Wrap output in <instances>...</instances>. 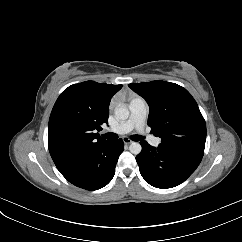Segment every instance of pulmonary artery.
Instances as JSON below:
<instances>
[{
  "label": "pulmonary artery",
  "mask_w": 242,
  "mask_h": 242,
  "mask_svg": "<svg viewBox=\"0 0 242 242\" xmlns=\"http://www.w3.org/2000/svg\"><path fill=\"white\" fill-rule=\"evenodd\" d=\"M129 110V118L126 121L121 122L118 125L110 128L108 130L109 132L115 133L117 135H124L129 133L133 129H136L141 134L144 133V122L147 113L146 103L144 99L141 97H136L132 99L129 103ZM146 138L152 146H158L161 142V139L158 137L147 136Z\"/></svg>",
  "instance_id": "obj_1"
}]
</instances>
